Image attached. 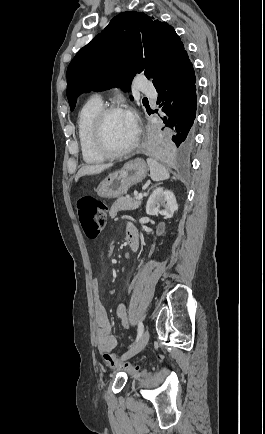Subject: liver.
<instances>
[{
	"mask_svg": "<svg viewBox=\"0 0 265 434\" xmlns=\"http://www.w3.org/2000/svg\"><path fill=\"white\" fill-rule=\"evenodd\" d=\"M113 164H96V166H83L78 170L75 176V182H78L79 178L82 176H92V174H101L103 170H107V168H111Z\"/></svg>",
	"mask_w": 265,
	"mask_h": 434,
	"instance_id": "1",
	"label": "liver"
}]
</instances>
